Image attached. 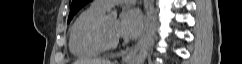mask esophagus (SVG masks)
Wrapping results in <instances>:
<instances>
[{
  "mask_svg": "<svg viewBox=\"0 0 242 64\" xmlns=\"http://www.w3.org/2000/svg\"><path fill=\"white\" fill-rule=\"evenodd\" d=\"M149 32V15L146 14L144 19V30L142 36L138 42L131 48L127 49L125 55L122 57V63L128 64L132 60L133 56L138 52L141 46L145 43Z\"/></svg>",
  "mask_w": 242,
  "mask_h": 64,
  "instance_id": "obj_1",
  "label": "esophagus"
}]
</instances>
